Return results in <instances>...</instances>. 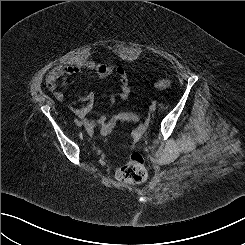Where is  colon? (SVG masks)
Masks as SVG:
<instances>
[{
	"label": "colon",
	"mask_w": 245,
	"mask_h": 245,
	"mask_svg": "<svg viewBox=\"0 0 245 245\" xmlns=\"http://www.w3.org/2000/svg\"><path fill=\"white\" fill-rule=\"evenodd\" d=\"M170 86L167 78H160L154 82L157 90H165ZM139 117L136 114L121 113L112 117L101 129L102 135H108L120 122H136ZM116 178L127 184H139L146 180L147 170L144 159L139 153H133L129 160L116 172Z\"/></svg>",
	"instance_id": "1"
}]
</instances>
